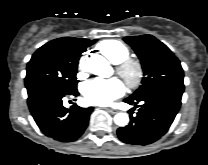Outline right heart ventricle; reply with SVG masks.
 <instances>
[{
	"label": "right heart ventricle",
	"instance_id": "e07e8e85",
	"mask_svg": "<svg viewBox=\"0 0 208 165\" xmlns=\"http://www.w3.org/2000/svg\"><path fill=\"white\" fill-rule=\"evenodd\" d=\"M97 48L114 64L128 58L130 53L128 47L124 43L115 39L103 40L98 44Z\"/></svg>",
	"mask_w": 208,
	"mask_h": 165
}]
</instances>
